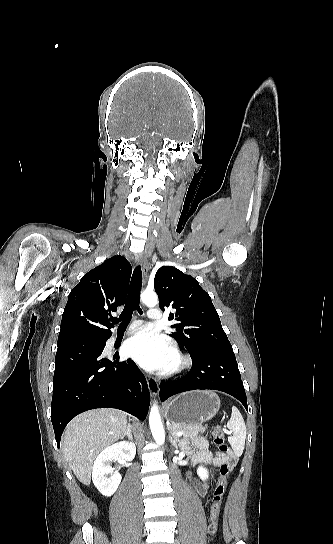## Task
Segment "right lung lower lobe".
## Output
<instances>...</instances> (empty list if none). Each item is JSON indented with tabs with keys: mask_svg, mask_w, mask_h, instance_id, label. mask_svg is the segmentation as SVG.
<instances>
[{
	"mask_svg": "<svg viewBox=\"0 0 333 544\" xmlns=\"http://www.w3.org/2000/svg\"><path fill=\"white\" fill-rule=\"evenodd\" d=\"M107 339L58 346L51 409L58 447L68 422L90 409L117 408L146 418L150 393L145 377L131 359L101 356Z\"/></svg>",
	"mask_w": 333,
	"mask_h": 544,
	"instance_id": "right-lung-lower-lobe-1",
	"label": "right lung lower lobe"
}]
</instances>
